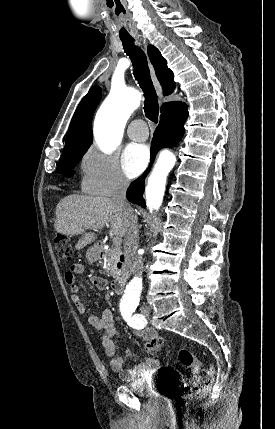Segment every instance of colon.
Here are the masks:
<instances>
[{"instance_id":"obj_1","label":"colon","mask_w":275,"mask_h":429,"mask_svg":"<svg viewBox=\"0 0 275 429\" xmlns=\"http://www.w3.org/2000/svg\"><path fill=\"white\" fill-rule=\"evenodd\" d=\"M54 248L58 258L62 260H70L72 257V246L67 237L57 234L55 237ZM163 340L153 341L149 343L147 349L153 353L159 349ZM181 364L190 369L192 377L182 379L179 388L183 391L180 402L187 405L201 399L209 390L213 381V370H206V378L201 381L200 373L203 370L202 363L187 349H181L178 354Z\"/></svg>"}]
</instances>
